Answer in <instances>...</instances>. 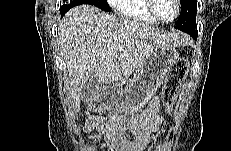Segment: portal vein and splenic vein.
<instances>
[{
  "instance_id": "obj_1",
  "label": "portal vein and splenic vein",
  "mask_w": 231,
  "mask_h": 151,
  "mask_svg": "<svg viewBox=\"0 0 231 151\" xmlns=\"http://www.w3.org/2000/svg\"><path fill=\"white\" fill-rule=\"evenodd\" d=\"M119 49H122V47H121V46H119Z\"/></svg>"
}]
</instances>
